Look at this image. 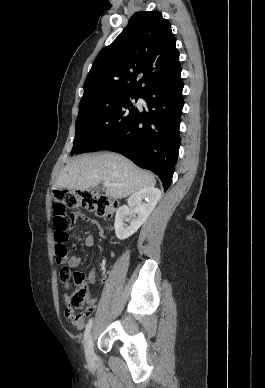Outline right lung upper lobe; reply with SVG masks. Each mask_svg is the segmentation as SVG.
I'll list each match as a JSON object with an SVG mask.
<instances>
[{
  "label": "right lung upper lobe",
  "instance_id": "1",
  "mask_svg": "<svg viewBox=\"0 0 265 388\" xmlns=\"http://www.w3.org/2000/svg\"><path fill=\"white\" fill-rule=\"evenodd\" d=\"M176 38L158 11L133 14L127 27L95 59L83 98L104 90L141 95L181 73Z\"/></svg>",
  "mask_w": 265,
  "mask_h": 388
}]
</instances>
